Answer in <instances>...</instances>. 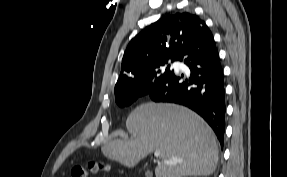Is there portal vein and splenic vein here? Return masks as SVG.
Returning <instances> with one entry per match:
<instances>
[{
    "label": "portal vein and splenic vein",
    "instance_id": "1",
    "mask_svg": "<svg viewBox=\"0 0 287 177\" xmlns=\"http://www.w3.org/2000/svg\"><path fill=\"white\" fill-rule=\"evenodd\" d=\"M155 157H159L160 156V151L156 150L154 152ZM166 164H176L177 161H165Z\"/></svg>",
    "mask_w": 287,
    "mask_h": 177
}]
</instances>
